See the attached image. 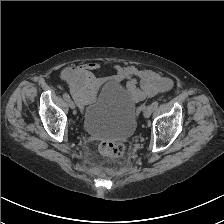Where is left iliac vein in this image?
Returning a JSON list of instances; mask_svg holds the SVG:
<instances>
[{
  "mask_svg": "<svg viewBox=\"0 0 224 224\" xmlns=\"http://www.w3.org/2000/svg\"><path fill=\"white\" fill-rule=\"evenodd\" d=\"M153 112V108L151 105L147 106L144 110V117L149 118Z\"/></svg>",
  "mask_w": 224,
  "mask_h": 224,
  "instance_id": "left-iliac-vein-1",
  "label": "left iliac vein"
}]
</instances>
